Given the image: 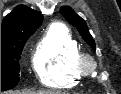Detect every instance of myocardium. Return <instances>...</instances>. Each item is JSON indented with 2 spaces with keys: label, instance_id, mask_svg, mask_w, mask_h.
<instances>
[{
  "label": "myocardium",
  "instance_id": "f54148a6",
  "mask_svg": "<svg viewBox=\"0 0 121 94\" xmlns=\"http://www.w3.org/2000/svg\"><path fill=\"white\" fill-rule=\"evenodd\" d=\"M96 60L86 53H80L77 57L76 67L80 76H89L97 70Z\"/></svg>",
  "mask_w": 121,
  "mask_h": 94
}]
</instances>
